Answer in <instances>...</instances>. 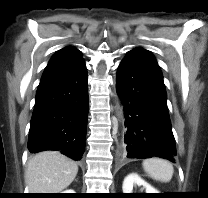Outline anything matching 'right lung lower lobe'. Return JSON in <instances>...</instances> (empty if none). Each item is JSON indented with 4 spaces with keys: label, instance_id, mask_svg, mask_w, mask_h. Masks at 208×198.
I'll return each mask as SVG.
<instances>
[{
    "label": "right lung lower lobe",
    "instance_id": "1",
    "mask_svg": "<svg viewBox=\"0 0 208 198\" xmlns=\"http://www.w3.org/2000/svg\"><path fill=\"white\" fill-rule=\"evenodd\" d=\"M88 117V76L84 61L70 71L41 81L27 148L31 153L59 150L80 160Z\"/></svg>",
    "mask_w": 208,
    "mask_h": 198
}]
</instances>
